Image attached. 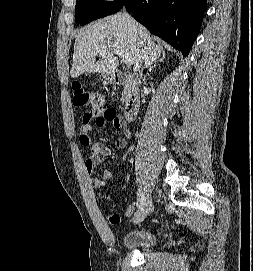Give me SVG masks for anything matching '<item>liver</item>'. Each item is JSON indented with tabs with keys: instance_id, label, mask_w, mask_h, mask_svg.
Returning <instances> with one entry per match:
<instances>
[{
	"instance_id": "1",
	"label": "liver",
	"mask_w": 253,
	"mask_h": 271,
	"mask_svg": "<svg viewBox=\"0 0 253 271\" xmlns=\"http://www.w3.org/2000/svg\"><path fill=\"white\" fill-rule=\"evenodd\" d=\"M134 23L135 26L124 14H115L82 28L75 37L71 77H79L84 72H115L119 65L115 50L129 55L134 72L143 68V63L149 67L164 55L163 48L152 41L148 30ZM101 50L106 53L96 62Z\"/></svg>"
}]
</instances>
